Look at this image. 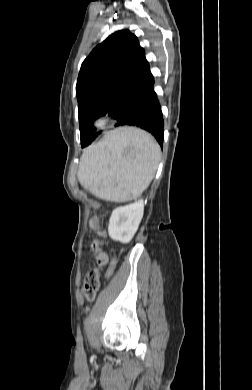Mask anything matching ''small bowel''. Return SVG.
Segmentation results:
<instances>
[{
    "label": "small bowel",
    "mask_w": 252,
    "mask_h": 390,
    "mask_svg": "<svg viewBox=\"0 0 252 390\" xmlns=\"http://www.w3.org/2000/svg\"><path fill=\"white\" fill-rule=\"evenodd\" d=\"M91 225L92 227L96 228L97 227V224L93 218V220L91 221ZM98 261L100 264L104 265L108 262V257L105 255V254H102L98 257Z\"/></svg>",
    "instance_id": "c3829d8e"
}]
</instances>
